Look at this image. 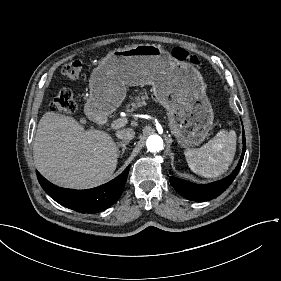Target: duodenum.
I'll list each match as a JSON object with an SVG mask.
<instances>
[{
	"label": "duodenum",
	"mask_w": 281,
	"mask_h": 281,
	"mask_svg": "<svg viewBox=\"0 0 281 281\" xmlns=\"http://www.w3.org/2000/svg\"><path fill=\"white\" fill-rule=\"evenodd\" d=\"M97 124L100 127H107L110 124V117L107 114H100L97 117Z\"/></svg>",
	"instance_id": "410a0bca"
}]
</instances>
